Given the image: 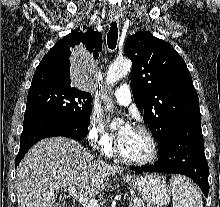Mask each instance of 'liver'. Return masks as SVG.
I'll list each match as a JSON object with an SVG mask.
<instances>
[{
    "instance_id": "6515ba94",
    "label": "liver",
    "mask_w": 220,
    "mask_h": 207,
    "mask_svg": "<svg viewBox=\"0 0 220 207\" xmlns=\"http://www.w3.org/2000/svg\"><path fill=\"white\" fill-rule=\"evenodd\" d=\"M118 166L96 160L82 145L64 137L36 143L16 171L18 207H53L59 190L74 186L85 196L105 189Z\"/></svg>"
}]
</instances>
